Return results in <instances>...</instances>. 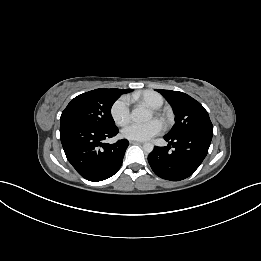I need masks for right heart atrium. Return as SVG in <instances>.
I'll return each mask as SVG.
<instances>
[{
    "label": "right heart atrium",
    "mask_w": 261,
    "mask_h": 261,
    "mask_svg": "<svg viewBox=\"0 0 261 261\" xmlns=\"http://www.w3.org/2000/svg\"><path fill=\"white\" fill-rule=\"evenodd\" d=\"M111 117L117 125H125L130 118V101L127 96H121L112 105Z\"/></svg>",
    "instance_id": "right-heart-atrium-1"
}]
</instances>
